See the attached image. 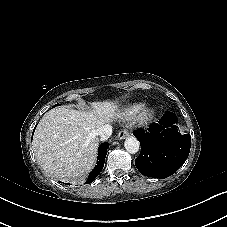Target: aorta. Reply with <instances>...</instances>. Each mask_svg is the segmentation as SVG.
<instances>
[{"instance_id":"obj_1","label":"aorta","mask_w":227,"mask_h":227,"mask_svg":"<svg viewBox=\"0 0 227 227\" xmlns=\"http://www.w3.org/2000/svg\"><path fill=\"white\" fill-rule=\"evenodd\" d=\"M124 147L127 152L135 154L140 149V143L135 137H128L124 142Z\"/></svg>"}]
</instances>
